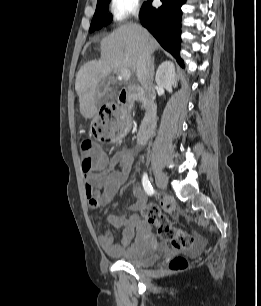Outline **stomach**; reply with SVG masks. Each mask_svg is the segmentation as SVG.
I'll return each instance as SVG.
<instances>
[{"label":"stomach","mask_w":261,"mask_h":306,"mask_svg":"<svg viewBox=\"0 0 261 306\" xmlns=\"http://www.w3.org/2000/svg\"><path fill=\"white\" fill-rule=\"evenodd\" d=\"M131 124H130V119L128 117L125 118L124 123H123V131L122 134L125 135L127 132L130 130Z\"/></svg>","instance_id":"0dacf381"}]
</instances>
